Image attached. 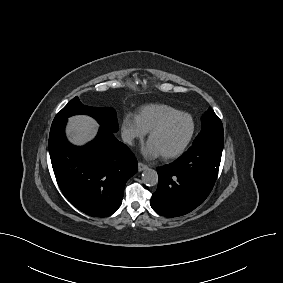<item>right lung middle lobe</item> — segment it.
Returning a JSON list of instances; mask_svg holds the SVG:
<instances>
[{
  "label": "right lung middle lobe",
  "instance_id": "dd1d6c3e",
  "mask_svg": "<svg viewBox=\"0 0 283 283\" xmlns=\"http://www.w3.org/2000/svg\"><path fill=\"white\" fill-rule=\"evenodd\" d=\"M75 114H87L95 118L101 127L116 132L118 130V121L116 111L112 108H97L83 105L78 97L73 98L55 117L68 118Z\"/></svg>",
  "mask_w": 283,
  "mask_h": 283
}]
</instances>
